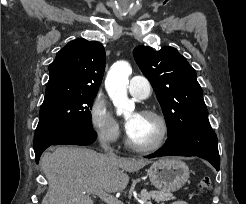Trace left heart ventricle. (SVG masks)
I'll return each instance as SVG.
<instances>
[{"label": "left heart ventricle", "instance_id": "1", "mask_svg": "<svg viewBox=\"0 0 246 204\" xmlns=\"http://www.w3.org/2000/svg\"><path fill=\"white\" fill-rule=\"evenodd\" d=\"M132 115L129 116V118ZM159 123L144 115H139L138 121L129 133L131 140L140 145H147L153 143L159 135Z\"/></svg>", "mask_w": 246, "mask_h": 204}]
</instances>
